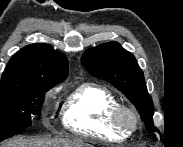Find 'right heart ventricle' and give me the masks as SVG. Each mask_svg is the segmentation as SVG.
Returning a JSON list of instances; mask_svg holds the SVG:
<instances>
[{
    "label": "right heart ventricle",
    "instance_id": "obj_1",
    "mask_svg": "<svg viewBox=\"0 0 183 147\" xmlns=\"http://www.w3.org/2000/svg\"><path fill=\"white\" fill-rule=\"evenodd\" d=\"M118 99L106 86L83 83L66 98L62 122L71 133L85 138L122 141L128 133L114 128L109 121Z\"/></svg>",
    "mask_w": 183,
    "mask_h": 147
}]
</instances>
